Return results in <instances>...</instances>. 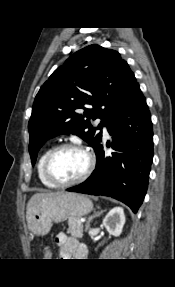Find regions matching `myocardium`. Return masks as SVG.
<instances>
[{
  "mask_svg": "<svg viewBox=\"0 0 175 287\" xmlns=\"http://www.w3.org/2000/svg\"><path fill=\"white\" fill-rule=\"evenodd\" d=\"M67 148H73V149H78L82 152H84L88 158V165L85 169V171L76 179L70 180V181H65V182H61L56 180L50 171V165L51 162L54 158V156L61 150L63 149H67ZM95 156L92 153V151L90 149H88L87 147L83 146L82 144L76 143V142H65L62 144H59L55 147H53L50 152L48 153V155L45 158L44 161V165H43V174L44 177L46 178V180L51 183L54 187H69V186H73L76 184H79L83 181H85L93 172L94 168H95Z\"/></svg>",
  "mask_w": 175,
  "mask_h": 287,
  "instance_id": "f54148a6",
  "label": "myocardium"
}]
</instances>
